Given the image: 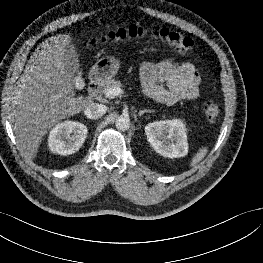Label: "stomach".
I'll use <instances>...</instances> for the list:
<instances>
[{
  "instance_id": "stomach-1",
  "label": "stomach",
  "mask_w": 263,
  "mask_h": 263,
  "mask_svg": "<svg viewBox=\"0 0 263 263\" xmlns=\"http://www.w3.org/2000/svg\"><path fill=\"white\" fill-rule=\"evenodd\" d=\"M120 68L118 60L114 57H104L99 59L90 71V80L93 82H105L113 78Z\"/></svg>"
}]
</instances>
